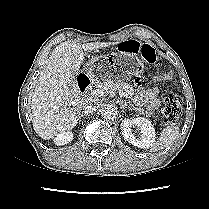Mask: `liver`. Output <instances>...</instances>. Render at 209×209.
I'll list each match as a JSON object with an SVG mask.
<instances>
[{"label": "liver", "instance_id": "obj_1", "mask_svg": "<svg viewBox=\"0 0 209 209\" xmlns=\"http://www.w3.org/2000/svg\"><path fill=\"white\" fill-rule=\"evenodd\" d=\"M118 42L80 45L66 41L58 45L45 62L32 95V124L45 140L73 129L82 111V98L74 74L80 72L84 51H98Z\"/></svg>", "mask_w": 209, "mask_h": 209}]
</instances>
